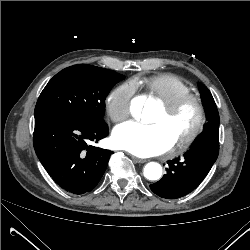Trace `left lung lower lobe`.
<instances>
[{"instance_id":"obj_1","label":"left lung lower lobe","mask_w":250,"mask_h":250,"mask_svg":"<svg viewBox=\"0 0 250 250\" xmlns=\"http://www.w3.org/2000/svg\"><path fill=\"white\" fill-rule=\"evenodd\" d=\"M219 153V131H204L183 155L169 161L167 174L150 189L158 196L169 199L180 198L205 178Z\"/></svg>"}]
</instances>
